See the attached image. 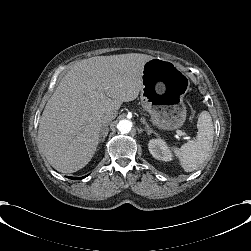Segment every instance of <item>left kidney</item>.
Wrapping results in <instances>:
<instances>
[{"label":"left kidney","mask_w":251,"mask_h":251,"mask_svg":"<svg viewBox=\"0 0 251 251\" xmlns=\"http://www.w3.org/2000/svg\"><path fill=\"white\" fill-rule=\"evenodd\" d=\"M148 148L152 156L161 161H171L172 152L162 139H151L148 143Z\"/></svg>","instance_id":"1"}]
</instances>
